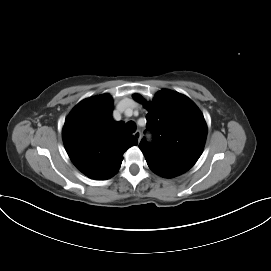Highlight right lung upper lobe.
I'll list each match as a JSON object with an SVG mask.
<instances>
[{
	"instance_id": "obj_1",
	"label": "right lung upper lobe",
	"mask_w": 271,
	"mask_h": 271,
	"mask_svg": "<svg viewBox=\"0 0 271 271\" xmlns=\"http://www.w3.org/2000/svg\"><path fill=\"white\" fill-rule=\"evenodd\" d=\"M113 102L109 94L81 101L68 115L63 142L73 164L92 179L114 176L124 152L137 145L124 130L122 121L112 119Z\"/></svg>"
}]
</instances>
